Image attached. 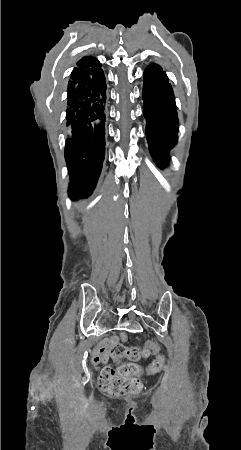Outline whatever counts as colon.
I'll return each mask as SVG.
<instances>
[{
  "mask_svg": "<svg viewBox=\"0 0 241 450\" xmlns=\"http://www.w3.org/2000/svg\"><path fill=\"white\" fill-rule=\"evenodd\" d=\"M145 349H140L137 347H126L121 344L115 345L114 347L109 349V355L117 360H122L124 358H128L130 360H139L141 358L147 357L148 363L143 366L146 368L150 366L151 372H156L161 369L163 362L161 358L165 357V350L161 349L159 345L155 343V341L150 340L144 343ZM150 354H155L156 359L151 364V356ZM125 366L116 369H107L101 372L97 381V386L111 396H123L130 393L138 392L142 389V383L136 381L132 376L128 374L132 373L133 369L136 370L138 367L136 365H132L128 362L123 364Z\"/></svg>",
  "mask_w": 241,
  "mask_h": 450,
  "instance_id": "obj_1",
  "label": "colon"
}]
</instances>
